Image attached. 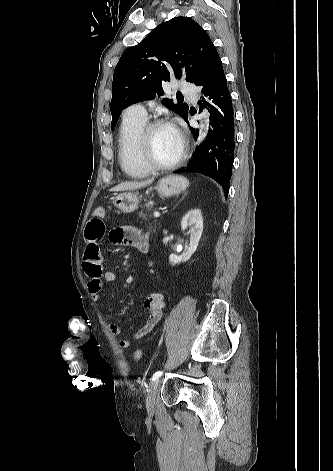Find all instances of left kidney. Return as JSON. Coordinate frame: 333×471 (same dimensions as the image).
Listing matches in <instances>:
<instances>
[{"instance_id":"left-kidney-1","label":"left kidney","mask_w":333,"mask_h":471,"mask_svg":"<svg viewBox=\"0 0 333 471\" xmlns=\"http://www.w3.org/2000/svg\"><path fill=\"white\" fill-rule=\"evenodd\" d=\"M181 229H189L188 233L190 234V243L180 256H177L176 254H171L169 256V261L172 265L188 261L195 253L203 233V218L201 210L193 209L187 212L181 220Z\"/></svg>"}]
</instances>
